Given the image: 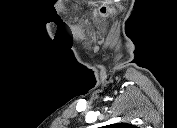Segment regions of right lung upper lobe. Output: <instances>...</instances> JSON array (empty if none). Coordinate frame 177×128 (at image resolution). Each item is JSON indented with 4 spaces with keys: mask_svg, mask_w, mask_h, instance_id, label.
Wrapping results in <instances>:
<instances>
[{
    "mask_svg": "<svg viewBox=\"0 0 177 128\" xmlns=\"http://www.w3.org/2000/svg\"><path fill=\"white\" fill-rule=\"evenodd\" d=\"M117 128H134L133 125L127 123H119L114 125Z\"/></svg>",
    "mask_w": 177,
    "mask_h": 128,
    "instance_id": "1",
    "label": "right lung upper lobe"
}]
</instances>
